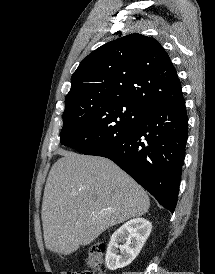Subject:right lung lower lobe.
Listing matches in <instances>:
<instances>
[{
    "instance_id": "1",
    "label": "right lung lower lobe",
    "mask_w": 215,
    "mask_h": 274,
    "mask_svg": "<svg viewBox=\"0 0 215 274\" xmlns=\"http://www.w3.org/2000/svg\"><path fill=\"white\" fill-rule=\"evenodd\" d=\"M184 98L144 110L124 135L84 154L111 159L171 212L177 203L187 142Z\"/></svg>"
}]
</instances>
